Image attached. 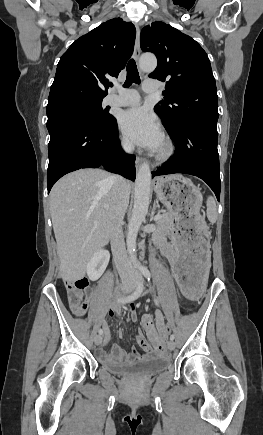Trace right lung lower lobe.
I'll use <instances>...</instances> for the list:
<instances>
[{
  "label": "right lung lower lobe",
  "instance_id": "obj_1",
  "mask_svg": "<svg viewBox=\"0 0 263 435\" xmlns=\"http://www.w3.org/2000/svg\"><path fill=\"white\" fill-rule=\"evenodd\" d=\"M47 128L50 134L48 193L59 178L80 168L103 166L135 180V156L125 154L120 148L114 117L104 124L85 117H64L52 121Z\"/></svg>",
  "mask_w": 263,
  "mask_h": 435
}]
</instances>
